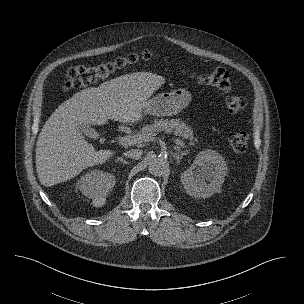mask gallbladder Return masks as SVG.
<instances>
[{"label": "gallbladder", "instance_id": "bac80fb5", "mask_svg": "<svg viewBox=\"0 0 304 304\" xmlns=\"http://www.w3.org/2000/svg\"><path fill=\"white\" fill-rule=\"evenodd\" d=\"M84 134L88 137H92L95 134V130L91 127H85Z\"/></svg>", "mask_w": 304, "mask_h": 304}]
</instances>
